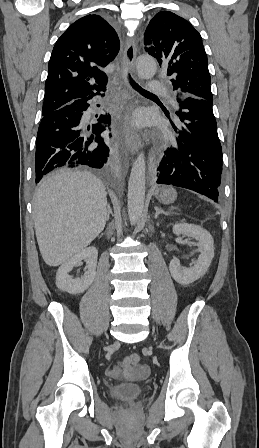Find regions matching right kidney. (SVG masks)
<instances>
[{
    "label": "right kidney",
    "mask_w": 259,
    "mask_h": 448,
    "mask_svg": "<svg viewBox=\"0 0 259 448\" xmlns=\"http://www.w3.org/2000/svg\"><path fill=\"white\" fill-rule=\"evenodd\" d=\"M98 250L90 246V248H85L79 254L72 256L70 260H67L65 264L60 266L56 274V286L59 290L63 292H68V294H83L85 290H88L91 286L95 276H96V266H97ZM81 260L87 262V272H85L82 278H71L69 272L73 270L76 264H79Z\"/></svg>",
    "instance_id": "obj_1"
}]
</instances>
